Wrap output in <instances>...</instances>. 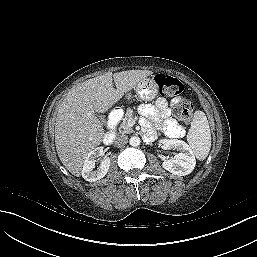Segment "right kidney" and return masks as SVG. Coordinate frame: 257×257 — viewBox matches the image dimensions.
Masks as SVG:
<instances>
[{"label":"right kidney","instance_id":"right-kidney-1","mask_svg":"<svg viewBox=\"0 0 257 257\" xmlns=\"http://www.w3.org/2000/svg\"><path fill=\"white\" fill-rule=\"evenodd\" d=\"M102 154L103 147H97L89 152L87 157L85 158L81 175L86 181L94 182L100 180L107 174L111 163L109 158L103 160L100 163V166L96 170H94L96 158L101 156Z\"/></svg>","mask_w":257,"mask_h":257}]
</instances>
